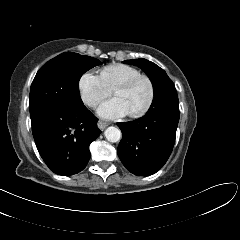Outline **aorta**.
<instances>
[{
  "label": "aorta",
  "instance_id": "obj_1",
  "mask_svg": "<svg viewBox=\"0 0 240 240\" xmlns=\"http://www.w3.org/2000/svg\"><path fill=\"white\" fill-rule=\"evenodd\" d=\"M104 135L109 142L114 143L120 140L122 134L118 128L110 126L105 130Z\"/></svg>",
  "mask_w": 240,
  "mask_h": 240
}]
</instances>
